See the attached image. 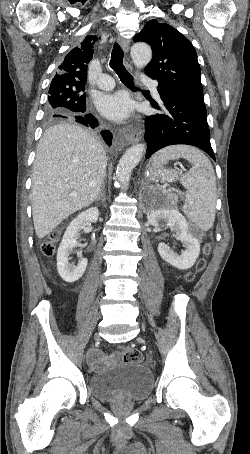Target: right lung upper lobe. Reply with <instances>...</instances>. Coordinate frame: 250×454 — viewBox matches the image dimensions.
<instances>
[{"instance_id":"1","label":"right lung upper lobe","mask_w":250,"mask_h":454,"mask_svg":"<svg viewBox=\"0 0 250 454\" xmlns=\"http://www.w3.org/2000/svg\"><path fill=\"white\" fill-rule=\"evenodd\" d=\"M96 36H87L80 45L73 48L58 67V73L53 78L50 86H85L87 80V64L93 58V45Z\"/></svg>"}]
</instances>
